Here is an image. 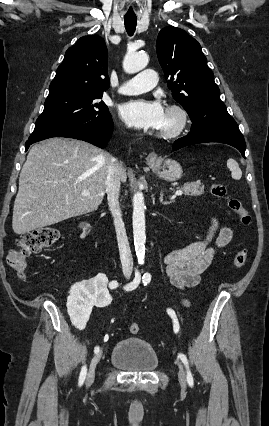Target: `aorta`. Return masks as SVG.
<instances>
[{
  "label": "aorta",
  "mask_w": 269,
  "mask_h": 426,
  "mask_svg": "<svg viewBox=\"0 0 269 426\" xmlns=\"http://www.w3.org/2000/svg\"><path fill=\"white\" fill-rule=\"evenodd\" d=\"M146 53L128 52L123 61V68L126 73H136L144 69L148 64ZM133 235L134 246L139 262L143 261L145 254V204L144 196L137 192L133 196Z\"/></svg>",
  "instance_id": "aorta-1"
}]
</instances>
